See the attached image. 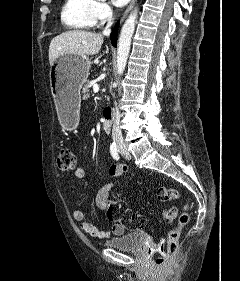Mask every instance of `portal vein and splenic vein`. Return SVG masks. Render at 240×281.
<instances>
[{
  "label": "portal vein and splenic vein",
  "instance_id": "portal-vein-and-splenic-vein-1",
  "mask_svg": "<svg viewBox=\"0 0 240 281\" xmlns=\"http://www.w3.org/2000/svg\"><path fill=\"white\" fill-rule=\"evenodd\" d=\"M93 92H94V93L99 92V86H98L97 84H94V85H93Z\"/></svg>",
  "mask_w": 240,
  "mask_h": 281
}]
</instances>
